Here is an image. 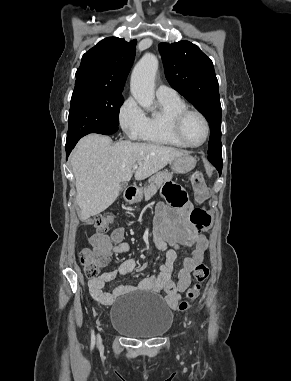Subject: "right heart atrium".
<instances>
[{"label": "right heart atrium", "instance_id": "obj_1", "mask_svg": "<svg viewBox=\"0 0 291 381\" xmlns=\"http://www.w3.org/2000/svg\"><path fill=\"white\" fill-rule=\"evenodd\" d=\"M118 120L129 138L140 137L145 123V114L133 97H128L120 106Z\"/></svg>", "mask_w": 291, "mask_h": 381}]
</instances>
